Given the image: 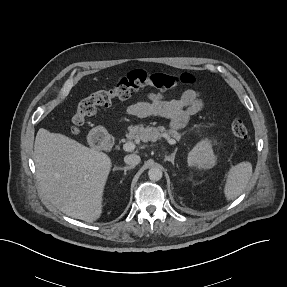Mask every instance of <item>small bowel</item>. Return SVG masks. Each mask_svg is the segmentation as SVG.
I'll return each instance as SVG.
<instances>
[{"label": "small bowel", "mask_w": 287, "mask_h": 287, "mask_svg": "<svg viewBox=\"0 0 287 287\" xmlns=\"http://www.w3.org/2000/svg\"><path fill=\"white\" fill-rule=\"evenodd\" d=\"M202 108L203 99L200 94L188 89L177 99L168 98L160 92L148 93L144 99L128 106L126 112L137 117H164L169 120L172 128L181 129Z\"/></svg>", "instance_id": "obj_1"}]
</instances>
